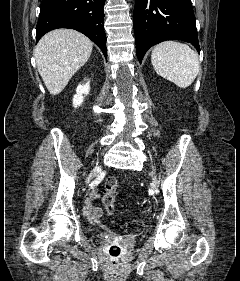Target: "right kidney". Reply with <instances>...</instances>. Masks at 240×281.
Wrapping results in <instances>:
<instances>
[{
    "mask_svg": "<svg viewBox=\"0 0 240 281\" xmlns=\"http://www.w3.org/2000/svg\"><path fill=\"white\" fill-rule=\"evenodd\" d=\"M90 91V82L81 83L76 89V94L73 97V106L75 108L79 107L84 101V95H88Z\"/></svg>",
    "mask_w": 240,
    "mask_h": 281,
    "instance_id": "1",
    "label": "right kidney"
}]
</instances>
